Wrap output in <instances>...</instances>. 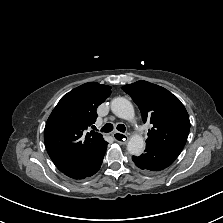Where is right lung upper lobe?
Returning a JSON list of instances; mask_svg holds the SVG:
<instances>
[{
	"label": "right lung upper lobe",
	"instance_id": "right-lung-upper-lobe-1",
	"mask_svg": "<svg viewBox=\"0 0 223 223\" xmlns=\"http://www.w3.org/2000/svg\"><path fill=\"white\" fill-rule=\"evenodd\" d=\"M110 94V86L88 82L64 95L50 114L44 141L60 171L85 161L105 143L101 134L86 130L95 123L97 107Z\"/></svg>",
	"mask_w": 223,
	"mask_h": 223
}]
</instances>
